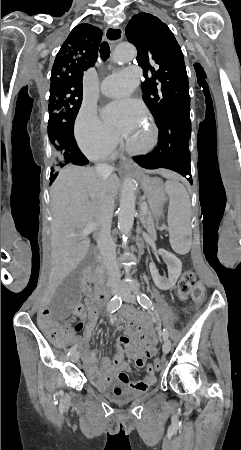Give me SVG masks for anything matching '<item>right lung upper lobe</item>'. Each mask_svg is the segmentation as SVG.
Instances as JSON below:
<instances>
[{
    "instance_id": "cb5924a9",
    "label": "right lung upper lobe",
    "mask_w": 241,
    "mask_h": 450,
    "mask_svg": "<svg viewBox=\"0 0 241 450\" xmlns=\"http://www.w3.org/2000/svg\"><path fill=\"white\" fill-rule=\"evenodd\" d=\"M101 38L102 31L95 26H76L55 58L50 87L65 84L83 89V72L95 64Z\"/></svg>"
}]
</instances>
